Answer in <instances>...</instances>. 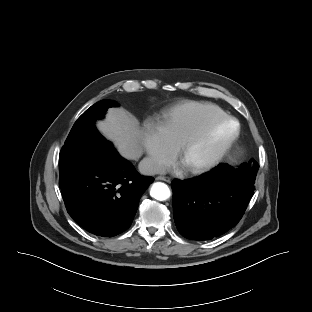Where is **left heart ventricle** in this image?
<instances>
[{"instance_id": "b2bd125f", "label": "left heart ventricle", "mask_w": 312, "mask_h": 312, "mask_svg": "<svg viewBox=\"0 0 312 312\" xmlns=\"http://www.w3.org/2000/svg\"><path fill=\"white\" fill-rule=\"evenodd\" d=\"M233 126L224 124L216 128L207 138L191 148L181 159L187 167L207 159L231 134Z\"/></svg>"}]
</instances>
